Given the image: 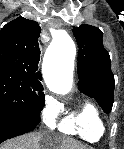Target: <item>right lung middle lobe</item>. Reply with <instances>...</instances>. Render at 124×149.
<instances>
[{
    "mask_svg": "<svg viewBox=\"0 0 124 149\" xmlns=\"http://www.w3.org/2000/svg\"><path fill=\"white\" fill-rule=\"evenodd\" d=\"M44 103L42 87L29 84L18 74L0 70V116H37Z\"/></svg>",
    "mask_w": 124,
    "mask_h": 149,
    "instance_id": "obj_1",
    "label": "right lung middle lobe"
}]
</instances>
